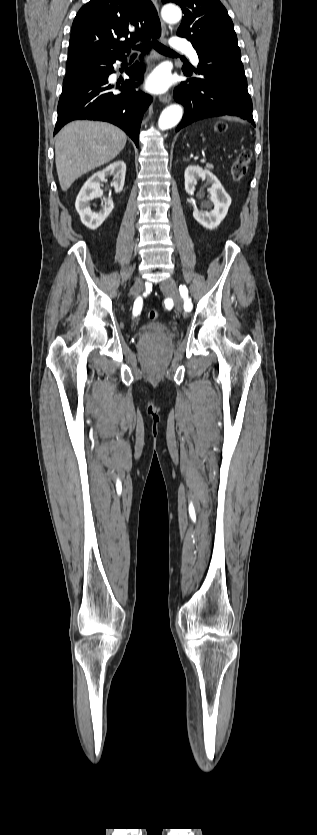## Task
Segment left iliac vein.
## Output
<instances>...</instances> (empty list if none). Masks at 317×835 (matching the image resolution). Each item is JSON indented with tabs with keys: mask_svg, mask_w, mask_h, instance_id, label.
I'll return each instance as SVG.
<instances>
[{
	"mask_svg": "<svg viewBox=\"0 0 317 835\" xmlns=\"http://www.w3.org/2000/svg\"><path fill=\"white\" fill-rule=\"evenodd\" d=\"M160 288L162 292H164L166 295L173 299L175 308L178 312L181 313L183 311V303L175 280L173 278H168L162 281L160 284Z\"/></svg>",
	"mask_w": 317,
	"mask_h": 835,
	"instance_id": "left-iliac-vein-1",
	"label": "left iliac vein"
}]
</instances>
